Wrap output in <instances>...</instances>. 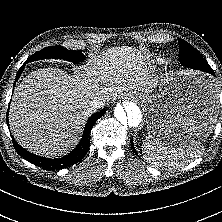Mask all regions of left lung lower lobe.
I'll use <instances>...</instances> for the list:
<instances>
[{
    "mask_svg": "<svg viewBox=\"0 0 222 222\" xmlns=\"http://www.w3.org/2000/svg\"><path fill=\"white\" fill-rule=\"evenodd\" d=\"M183 66H186V67H189V68H192V69L201 70V69H199V68H200L199 65H195L194 63H192V62H190V61H186ZM204 72H207V73L215 76L213 70H207V71H204ZM131 145H132V148H133L134 152L137 154V152L135 151V148H134V145H133V141H132V140H131Z\"/></svg>",
    "mask_w": 222,
    "mask_h": 222,
    "instance_id": "1",
    "label": "left lung lower lobe"
}]
</instances>
